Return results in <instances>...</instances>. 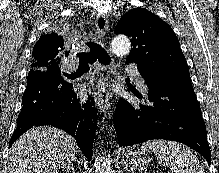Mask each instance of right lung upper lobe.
<instances>
[{
	"label": "right lung upper lobe",
	"instance_id": "obj_1",
	"mask_svg": "<svg viewBox=\"0 0 219 173\" xmlns=\"http://www.w3.org/2000/svg\"><path fill=\"white\" fill-rule=\"evenodd\" d=\"M63 37L57 33L45 34L36 42L33 53L31 68L39 70L49 64H60L64 55Z\"/></svg>",
	"mask_w": 219,
	"mask_h": 173
}]
</instances>
